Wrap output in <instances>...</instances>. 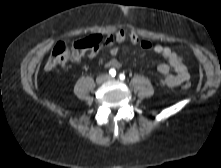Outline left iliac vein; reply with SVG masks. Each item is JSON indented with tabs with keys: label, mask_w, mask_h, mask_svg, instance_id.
Instances as JSON below:
<instances>
[{
	"label": "left iliac vein",
	"mask_w": 221,
	"mask_h": 168,
	"mask_svg": "<svg viewBox=\"0 0 221 168\" xmlns=\"http://www.w3.org/2000/svg\"><path fill=\"white\" fill-rule=\"evenodd\" d=\"M108 80H114V78H112V77H108Z\"/></svg>",
	"instance_id": "obj_1"
}]
</instances>
